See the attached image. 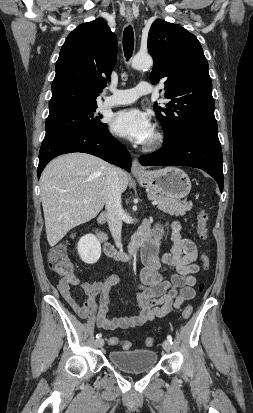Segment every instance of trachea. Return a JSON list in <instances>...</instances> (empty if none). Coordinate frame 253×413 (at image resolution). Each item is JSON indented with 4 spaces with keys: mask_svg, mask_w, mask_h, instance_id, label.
<instances>
[{
    "mask_svg": "<svg viewBox=\"0 0 253 413\" xmlns=\"http://www.w3.org/2000/svg\"><path fill=\"white\" fill-rule=\"evenodd\" d=\"M123 49L127 60L130 59L134 50V32L131 26L126 27L124 30Z\"/></svg>",
    "mask_w": 253,
    "mask_h": 413,
    "instance_id": "3493384b",
    "label": "trachea"
}]
</instances>
